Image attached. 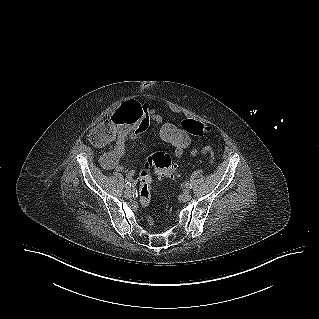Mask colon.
Wrapping results in <instances>:
<instances>
[{"label":"colon","mask_w":319,"mask_h":319,"mask_svg":"<svg viewBox=\"0 0 319 319\" xmlns=\"http://www.w3.org/2000/svg\"><path fill=\"white\" fill-rule=\"evenodd\" d=\"M181 129H178L176 123L164 122L156 130V139L163 146L184 151L192 147L195 137L207 138L211 134L210 124L206 120L185 118L181 122ZM151 170H154L161 178L176 179L178 177L177 163L167 153L158 151L151 154L145 161L138 178L139 199L143 206L150 203Z\"/></svg>","instance_id":"colon-1"}]
</instances>
